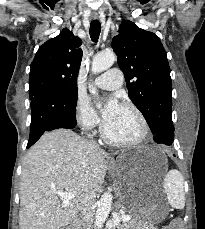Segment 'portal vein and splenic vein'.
Listing matches in <instances>:
<instances>
[{"mask_svg":"<svg viewBox=\"0 0 205 229\" xmlns=\"http://www.w3.org/2000/svg\"><path fill=\"white\" fill-rule=\"evenodd\" d=\"M55 194H57L64 203H67L69 200L75 198L76 194L72 193V192H55ZM122 218L124 219H130L129 216H122Z\"/></svg>","mask_w":205,"mask_h":229,"instance_id":"portal-vein-and-splenic-vein-1","label":"portal vein and splenic vein"}]
</instances>
